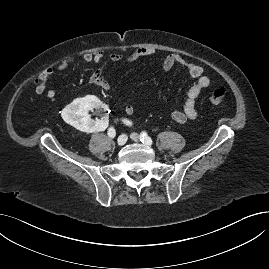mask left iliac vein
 <instances>
[{
  "mask_svg": "<svg viewBox=\"0 0 269 269\" xmlns=\"http://www.w3.org/2000/svg\"><path fill=\"white\" fill-rule=\"evenodd\" d=\"M131 139L134 140L135 142H138L140 139V136L137 133H131L130 135Z\"/></svg>",
  "mask_w": 269,
  "mask_h": 269,
  "instance_id": "1",
  "label": "left iliac vein"
}]
</instances>
